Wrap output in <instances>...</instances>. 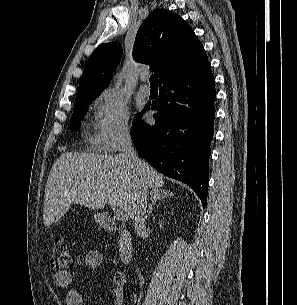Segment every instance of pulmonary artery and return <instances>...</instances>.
Segmentation results:
<instances>
[{
  "instance_id": "e3ab8cb5",
  "label": "pulmonary artery",
  "mask_w": 297,
  "mask_h": 305,
  "mask_svg": "<svg viewBox=\"0 0 297 305\" xmlns=\"http://www.w3.org/2000/svg\"><path fill=\"white\" fill-rule=\"evenodd\" d=\"M148 78H149L148 73H142V74L140 75V80H141L142 82L147 81ZM139 92H140V94L143 95L144 97H148V96L151 94V89H150V87H149L148 85L142 84V85L140 86V88H139Z\"/></svg>"
}]
</instances>
